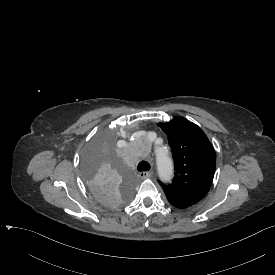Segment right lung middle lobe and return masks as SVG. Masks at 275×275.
<instances>
[{"label": "right lung middle lobe", "mask_w": 275, "mask_h": 275, "mask_svg": "<svg viewBox=\"0 0 275 275\" xmlns=\"http://www.w3.org/2000/svg\"><path fill=\"white\" fill-rule=\"evenodd\" d=\"M119 133L100 126L89 136L84 149V178L94 200L115 210L135 199V172L118 152Z\"/></svg>", "instance_id": "1"}]
</instances>
